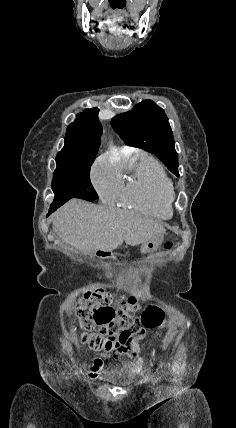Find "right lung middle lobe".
<instances>
[{
    "mask_svg": "<svg viewBox=\"0 0 236 428\" xmlns=\"http://www.w3.org/2000/svg\"><path fill=\"white\" fill-rule=\"evenodd\" d=\"M92 163H57L52 180L55 197L50 208H59L71 198H81L87 201L98 198L90 181Z\"/></svg>",
    "mask_w": 236,
    "mask_h": 428,
    "instance_id": "dd1d6c3e",
    "label": "right lung middle lobe"
}]
</instances>
